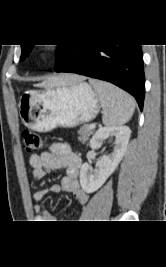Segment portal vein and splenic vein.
Returning a JSON list of instances; mask_svg holds the SVG:
<instances>
[{
    "instance_id": "obj_1",
    "label": "portal vein and splenic vein",
    "mask_w": 166,
    "mask_h": 267,
    "mask_svg": "<svg viewBox=\"0 0 166 267\" xmlns=\"http://www.w3.org/2000/svg\"><path fill=\"white\" fill-rule=\"evenodd\" d=\"M89 128H90V129H94V128H95V124H91V125H89Z\"/></svg>"
}]
</instances>
